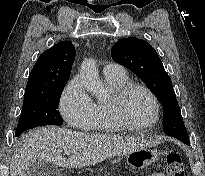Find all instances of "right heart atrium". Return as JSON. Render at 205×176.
Here are the masks:
<instances>
[{"label": "right heart atrium", "mask_w": 205, "mask_h": 176, "mask_svg": "<svg viewBox=\"0 0 205 176\" xmlns=\"http://www.w3.org/2000/svg\"><path fill=\"white\" fill-rule=\"evenodd\" d=\"M59 111L64 120L76 130L90 127L95 115V103L85 91L79 76L72 78L63 89Z\"/></svg>", "instance_id": "1"}]
</instances>
